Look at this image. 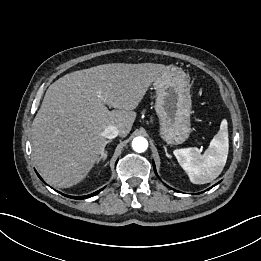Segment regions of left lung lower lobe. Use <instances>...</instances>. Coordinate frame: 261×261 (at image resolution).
Returning a JSON list of instances; mask_svg holds the SVG:
<instances>
[{
  "label": "left lung lower lobe",
  "instance_id": "1",
  "mask_svg": "<svg viewBox=\"0 0 261 261\" xmlns=\"http://www.w3.org/2000/svg\"><path fill=\"white\" fill-rule=\"evenodd\" d=\"M153 167H154V170H155V165H154V163H153ZM155 173H156V170H155ZM157 174V173H156Z\"/></svg>",
  "mask_w": 261,
  "mask_h": 261
}]
</instances>
